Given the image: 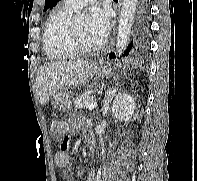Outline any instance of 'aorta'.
I'll return each mask as SVG.
<instances>
[{"label":"aorta","mask_w":197,"mask_h":181,"mask_svg":"<svg viewBox=\"0 0 197 181\" xmlns=\"http://www.w3.org/2000/svg\"><path fill=\"white\" fill-rule=\"evenodd\" d=\"M137 0H123L116 40V54L120 55L125 50L130 38L134 21ZM83 14L78 13L76 21L83 20Z\"/></svg>","instance_id":"obj_1"}]
</instances>
